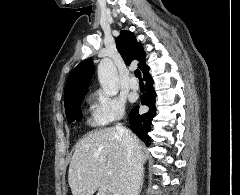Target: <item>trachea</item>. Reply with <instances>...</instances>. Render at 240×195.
<instances>
[{
	"mask_svg": "<svg viewBox=\"0 0 240 195\" xmlns=\"http://www.w3.org/2000/svg\"><path fill=\"white\" fill-rule=\"evenodd\" d=\"M135 77H137L138 79H139V83L140 84H143L144 82H143V80H142V78H141V72H140V70H135Z\"/></svg>",
	"mask_w": 240,
	"mask_h": 195,
	"instance_id": "trachea-1",
	"label": "trachea"
}]
</instances>
